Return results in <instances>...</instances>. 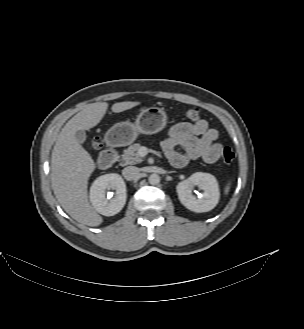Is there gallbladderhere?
I'll use <instances>...</instances> for the list:
<instances>
[{"label": "gallbladder", "mask_w": 304, "mask_h": 329, "mask_svg": "<svg viewBox=\"0 0 304 329\" xmlns=\"http://www.w3.org/2000/svg\"><path fill=\"white\" fill-rule=\"evenodd\" d=\"M75 138L79 143H84L86 140V133L83 130H78L75 133Z\"/></svg>", "instance_id": "bac80fb5"}]
</instances>
